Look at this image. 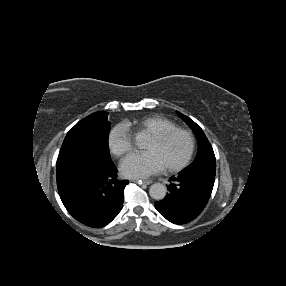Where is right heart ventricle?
<instances>
[{
	"label": "right heart ventricle",
	"mask_w": 286,
	"mask_h": 286,
	"mask_svg": "<svg viewBox=\"0 0 286 286\" xmlns=\"http://www.w3.org/2000/svg\"><path fill=\"white\" fill-rule=\"evenodd\" d=\"M123 126L135 134L146 132L149 135L179 127L174 121L159 115L147 116L134 121H126Z\"/></svg>",
	"instance_id": "right-heart-ventricle-1"
}]
</instances>
